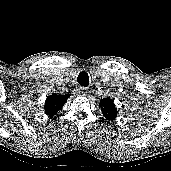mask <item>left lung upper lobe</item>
I'll list each match as a JSON object with an SVG mask.
<instances>
[{"label":"left lung upper lobe","mask_w":171,"mask_h":171,"mask_svg":"<svg viewBox=\"0 0 171 171\" xmlns=\"http://www.w3.org/2000/svg\"><path fill=\"white\" fill-rule=\"evenodd\" d=\"M100 104L102 106L103 116L107 120H111V121L114 120L117 116V111L115 108L114 101L107 97V98L101 99Z\"/></svg>","instance_id":"obj_1"}]
</instances>
